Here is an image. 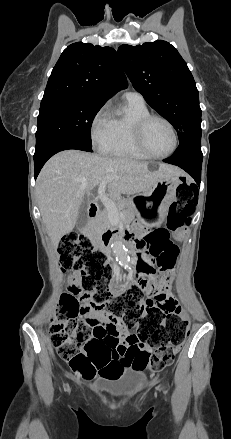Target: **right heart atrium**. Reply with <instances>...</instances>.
Returning a JSON list of instances; mask_svg holds the SVG:
<instances>
[{
  "label": "right heart atrium",
  "instance_id": "1",
  "mask_svg": "<svg viewBox=\"0 0 231 439\" xmlns=\"http://www.w3.org/2000/svg\"><path fill=\"white\" fill-rule=\"evenodd\" d=\"M110 116L107 105L100 107L91 120L90 135L93 144L101 147L109 138Z\"/></svg>",
  "mask_w": 231,
  "mask_h": 439
}]
</instances>
